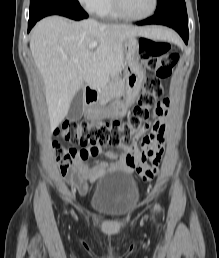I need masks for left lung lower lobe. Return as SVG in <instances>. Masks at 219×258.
Segmentation results:
<instances>
[{
  "instance_id": "0a47b994",
  "label": "left lung lower lobe",
  "mask_w": 219,
  "mask_h": 258,
  "mask_svg": "<svg viewBox=\"0 0 219 258\" xmlns=\"http://www.w3.org/2000/svg\"><path fill=\"white\" fill-rule=\"evenodd\" d=\"M136 24H159L168 26L170 28L175 29L183 38L184 42L186 44L188 43V17L186 9H169L159 14H154V16L146 20L139 21Z\"/></svg>"
}]
</instances>
